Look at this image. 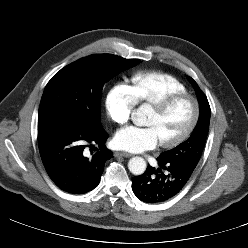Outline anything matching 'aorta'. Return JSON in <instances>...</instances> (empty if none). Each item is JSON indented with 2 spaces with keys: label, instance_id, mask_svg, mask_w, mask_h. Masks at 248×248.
Returning a JSON list of instances; mask_svg holds the SVG:
<instances>
[{
  "label": "aorta",
  "instance_id": "1",
  "mask_svg": "<svg viewBox=\"0 0 248 248\" xmlns=\"http://www.w3.org/2000/svg\"><path fill=\"white\" fill-rule=\"evenodd\" d=\"M141 115V109L135 113L136 117ZM137 121V118L135 119ZM146 161L142 157H133L128 162V169L134 175H142L146 170Z\"/></svg>",
  "mask_w": 248,
  "mask_h": 248
}]
</instances>
